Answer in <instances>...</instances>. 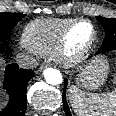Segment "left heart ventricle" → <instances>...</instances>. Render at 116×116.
<instances>
[{"label":"left heart ventricle","mask_w":116,"mask_h":116,"mask_svg":"<svg viewBox=\"0 0 116 116\" xmlns=\"http://www.w3.org/2000/svg\"><path fill=\"white\" fill-rule=\"evenodd\" d=\"M92 29L88 24L78 25L70 34L68 39V46L71 51L76 52L80 50L90 39Z\"/></svg>","instance_id":"1"}]
</instances>
